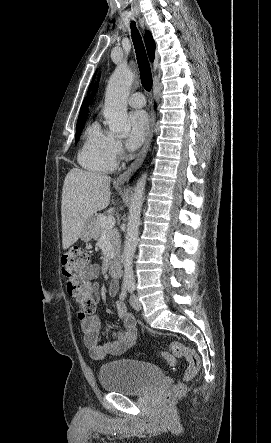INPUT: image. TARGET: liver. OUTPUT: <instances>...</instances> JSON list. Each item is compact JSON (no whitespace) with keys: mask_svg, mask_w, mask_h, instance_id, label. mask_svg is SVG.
I'll list each match as a JSON object with an SVG mask.
<instances>
[{"mask_svg":"<svg viewBox=\"0 0 271 443\" xmlns=\"http://www.w3.org/2000/svg\"><path fill=\"white\" fill-rule=\"evenodd\" d=\"M109 176H99L73 168L68 172L62 192V245L68 249L83 233L88 218L110 204Z\"/></svg>","mask_w":271,"mask_h":443,"instance_id":"1","label":"liver"}]
</instances>
